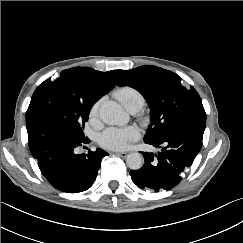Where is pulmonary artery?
Here are the masks:
<instances>
[{
  "instance_id": "pulmonary-artery-1",
  "label": "pulmonary artery",
  "mask_w": 243,
  "mask_h": 243,
  "mask_svg": "<svg viewBox=\"0 0 243 243\" xmlns=\"http://www.w3.org/2000/svg\"><path fill=\"white\" fill-rule=\"evenodd\" d=\"M131 113H135L136 111H137V109L136 108H132V109H130L129 110Z\"/></svg>"
}]
</instances>
